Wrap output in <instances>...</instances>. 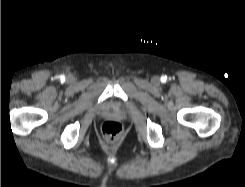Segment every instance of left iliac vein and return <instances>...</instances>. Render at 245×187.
<instances>
[{
	"instance_id": "1",
	"label": "left iliac vein",
	"mask_w": 245,
	"mask_h": 187,
	"mask_svg": "<svg viewBox=\"0 0 245 187\" xmlns=\"http://www.w3.org/2000/svg\"><path fill=\"white\" fill-rule=\"evenodd\" d=\"M159 80L158 77H154V81L157 82Z\"/></svg>"
}]
</instances>
